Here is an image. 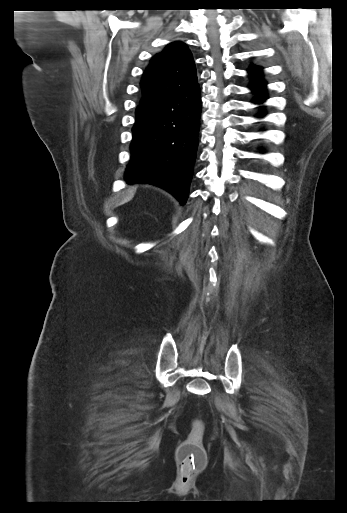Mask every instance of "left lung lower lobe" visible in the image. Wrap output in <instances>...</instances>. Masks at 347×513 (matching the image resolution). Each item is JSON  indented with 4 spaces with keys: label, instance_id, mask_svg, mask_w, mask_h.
<instances>
[{
    "label": "left lung lower lobe",
    "instance_id": "1",
    "mask_svg": "<svg viewBox=\"0 0 347 513\" xmlns=\"http://www.w3.org/2000/svg\"><path fill=\"white\" fill-rule=\"evenodd\" d=\"M262 68L252 65L248 72L253 78V81L250 85V88L257 94L256 99L254 100L255 103H262L264 100H266V94H265V86L266 83L262 80ZM264 113L260 114L262 116Z\"/></svg>",
    "mask_w": 347,
    "mask_h": 513
}]
</instances>
